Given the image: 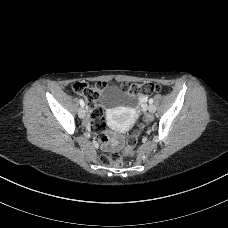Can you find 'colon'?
Returning a JSON list of instances; mask_svg holds the SVG:
<instances>
[{"mask_svg": "<svg viewBox=\"0 0 228 228\" xmlns=\"http://www.w3.org/2000/svg\"><path fill=\"white\" fill-rule=\"evenodd\" d=\"M104 87V84H100L94 88H91L83 82H77L73 85V90L77 94L83 96L87 103L89 117L91 120V129L100 136L103 134V131L105 129V121L103 118V110L99 106L97 100L100 91L104 89ZM122 89L135 96L147 97L153 93L159 92L161 88L158 84L155 83H144L124 84L122 86ZM146 124L147 121L145 120L139 125L138 130L128 138L126 146L120 153L112 152L104 154L102 155L101 160L106 164L121 165L123 162V157L133 155Z\"/></svg>", "mask_w": 228, "mask_h": 228, "instance_id": "colon-1", "label": "colon"}]
</instances>
